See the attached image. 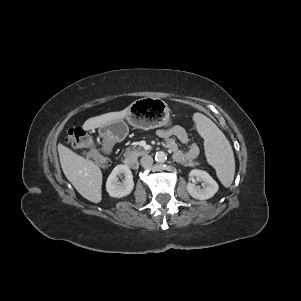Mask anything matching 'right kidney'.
<instances>
[{"instance_id":"1","label":"right kidney","mask_w":301,"mask_h":301,"mask_svg":"<svg viewBox=\"0 0 301 301\" xmlns=\"http://www.w3.org/2000/svg\"><path fill=\"white\" fill-rule=\"evenodd\" d=\"M124 175L125 180L118 182V176ZM134 188L133 174L127 165H117L109 175L106 190L111 197L121 198L129 195Z\"/></svg>"}]
</instances>
